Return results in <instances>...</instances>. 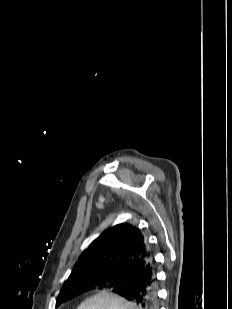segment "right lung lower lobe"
<instances>
[{
	"label": "right lung lower lobe",
	"mask_w": 232,
	"mask_h": 309,
	"mask_svg": "<svg viewBox=\"0 0 232 309\" xmlns=\"http://www.w3.org/2000/svg\"><path fill=\"white\" fill-rule=\"evenodd\" d=\"M129 269L123 271L127 281L117 284L116 282H107L98 288H109L114 293L135 303L139 309H158L157 283L155 275L154 259L151 257L137 268L130 264ZM93 289V288H92Z\"/></svg>",
	"instance_id": "right-lung-lower-lobe-1"
}]
</instances>
